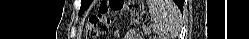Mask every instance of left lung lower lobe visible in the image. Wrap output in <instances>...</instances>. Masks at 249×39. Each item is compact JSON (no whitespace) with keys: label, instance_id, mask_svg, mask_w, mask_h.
Listing matches in <instances>:
<instances>
[{"label":"left lung lower lobe","instance_id":"1","mask_svg":"<svg viewBox=\"0 0 249 39\" xmlns=\"http://www.w3.org/2000/svg\"><path fill=\"white\" fill-rule=\"evenodd\" d=\"M175 3L178 5V7L180 8V10L182 11L183 10V1L182 0H175Z\"/></svg>","mask_w":249,"mask_h":39}]
</instances>
